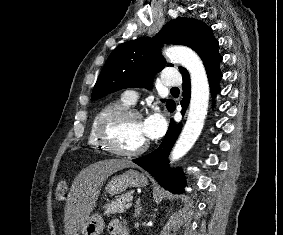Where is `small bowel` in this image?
I'll return each mask as SVG.
<instances>
[{"instance_id":"small-bowel-1","label":"small bowel","mask_w":283,"mask_h":235,"mask_svg":"<svg viewBox=\"0 0 283 235\" xmlns=\"http://www.w3.org/2000/svg\"><path fill=\"white\" fill-rule=\"evenodd\" d=\"M120 225H122L119 221H111L109 223V232L112 235H119V229H120Z\"/></svg>"}]
</instances>
